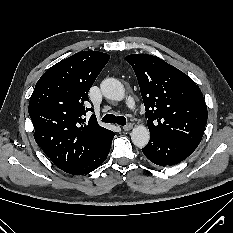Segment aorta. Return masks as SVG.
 I'll return each instance as SVG.
<instances>
[{
    "mask_svg": "<svg viewBox=\"0 0 233 233\" xmlns=\"http://www.w3.org/2000/svg\"><path fill=\"white\" fill-rule=\"evenodd\" d=\"M103 95L110 100L120 101L125 96V89L122 83L115 78H106L101 83ZM150 138L149 130L144 125L135 126L131 132V140L137 147H145Z\"/></svg>",
    "mask_w": 233,
    "mask_h": 233,
    "instance_id": "762f6f07",
    "label": "aorta"
}]
</instances>
